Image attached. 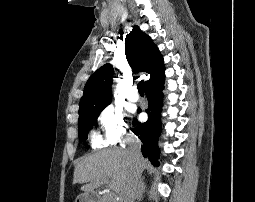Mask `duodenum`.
Wrapping results in <instances>:
<instances>
[{
  "mask_svg": "<svg viewBox=\"0 0 255 202\" xmlns=\"http://www.w3.org/2000/svg\"><path fill=\"white\" fill-rule=\"evenodd\" d=\"M84 202H96V198L93 194H89L86 198H84Z\"/></svg>",
  "mask_w": 255,
  "mask_h": 202,
  "instance_id": "duodenum-1",
  "label": "duodenum"
}]
</instances>
